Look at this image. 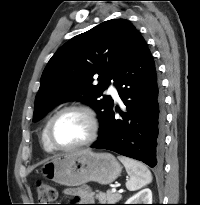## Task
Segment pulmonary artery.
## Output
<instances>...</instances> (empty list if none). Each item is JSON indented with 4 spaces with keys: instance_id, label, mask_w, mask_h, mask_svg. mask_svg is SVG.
Returning <instances> with one entry per match:
<instances>
[{
    "instance_id": "pulmonary-artery-1",
    "label": "pulmonary artery",
    "mask_w": 200,
    "mask_h": 205,
    "mask_svg": "<svg viewBox=\"0 0 200 205\" xmlns=\"http://www.w3.org/2000/svg\"><path fill=\"white\" fill-rule=\"evenodd\" d=\"M108 92H109V94L112 95V97H113L115 100H119L118 91H117L116 87H115L113 84H111V85L109 86Z\"/></svg>"
}]
</instances>
